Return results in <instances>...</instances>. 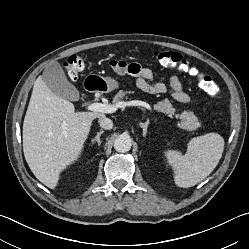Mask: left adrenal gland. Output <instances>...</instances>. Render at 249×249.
<instances>
[{"label":"left adrenal gland","mask_w":249,"mask_h":249,"mask_svg":"<svg viewBox=\"0 0 249 249\" xmlns=\"http://www.w3.org/2000/svg\"><path fill=\"white\" fill-rule=\"evenodd\" d=\"M139 125L142 128V130H143V137H146V135H147V128H148V125H149V120H147L145 123L140 122Z\"/></svg>","instance_id":"left-adrenal-gland-1"}]
</instances>
